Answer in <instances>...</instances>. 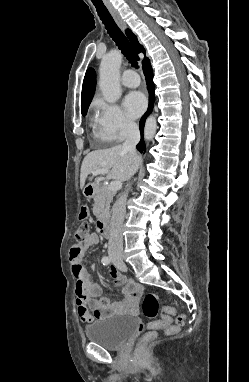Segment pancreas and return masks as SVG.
Returning a JSON list of instances; mask_svg holds the SVG:
<instances>
[{"mask_svg": "<svg viewBox=\"0 0 249 382\" xmlns=\"http://www.w3.org/2000/svg\"><path fill=\"white\" fill-rule=\"evenodd\" d=\"M113 196L114 192L108 186L100 185L97 187L93 204V213L97 218H102L108 214Z\"/></svg>", "mask_w": 249, "mask_h": 382, "instance_id": "pancreas-1", "label": "pancreas"}]
</instances>
